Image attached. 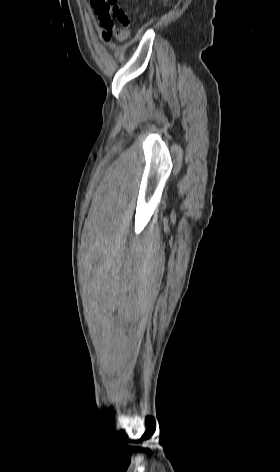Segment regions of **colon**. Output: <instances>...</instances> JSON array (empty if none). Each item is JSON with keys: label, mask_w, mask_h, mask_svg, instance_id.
I'll list each match as a JSON object with an SVG mask.
<instances>
[{"label": "colon", "mask_w": 280, "mask_h": 472, "mask_svg": "<svg viewBox=\"0 0 280 472\" xmlns=\"http://www.w3.org/2000/svg\"><path fill=\"white\" fill-rule=\"evenodd\" d=\"M91 4L102 24L119 23L123 29L130 26V16L118 4V0H91Z\"/></svg>", "instance_id": "5ec220e1"}]
</instances>
